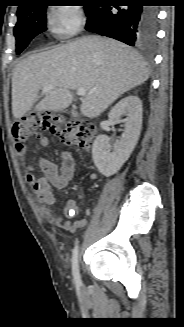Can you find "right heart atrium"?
Masks as SVG:
<instances>
[{
    "instance_id": "d8ad5b80",
    "label": "right heart atrium",
    "mask_w": 184,
    "mask_h": 327,
    "mask_svg": "<svg viewBox=\"0 0 184 327\" xmlns=\"http://www.w3.org/2000/svg\"><path fill=\"white\" fill-rule=\"evenodd\" d=\"M47 26L54 35L69 39L83 29L84 16L77 6L58 7L48 14Z\"/></svg>"
}]
</instances>
